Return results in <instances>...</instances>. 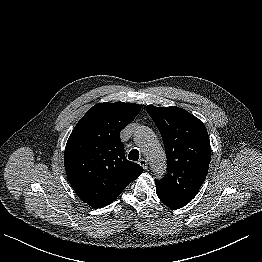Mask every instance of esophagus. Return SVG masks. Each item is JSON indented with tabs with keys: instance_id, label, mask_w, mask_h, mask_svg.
I'll use <instances>...</instances> for the list:
<instances>
[{
	"instance_id": "obj_1",
	"label": "esophagus",
	"mask_w": 262,
	"mask_h": 262,
	"mask_svg": "<svg viewBox=\"0 0 262 262\" xmlns=\"http://www.w3.org/2000/svg\"><path fill=\"white\" fill-rule=\"evenodd\" d=\"M138 163L146 170L148 168V162L145 159H140Z\"/></svg>"
}]
</instances>
